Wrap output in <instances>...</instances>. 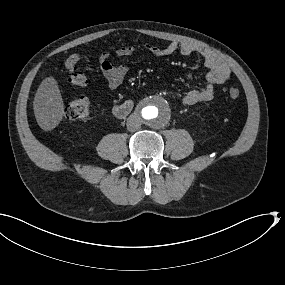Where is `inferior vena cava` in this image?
I'll return each instance as SVG.
<instances>
[{
    "instance_id": "inferior-vena-cava-1",
    "label": "inferior vena cava",
    "mask_w": 285,
    "mask_h": 285,
    "mask_svg": "<svg viewBox=\"0 0 285 285\" xmlns=\"http://www.w3.org/2000/svg\"><path fill=\"white\" fill-rule=\"evenodd\" d=\"M141 127L140 119L137 115H130L127 119V129L129 131H137Z\"/></svg>"
}]
</instances>
